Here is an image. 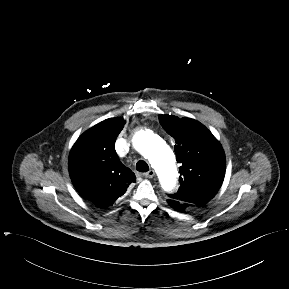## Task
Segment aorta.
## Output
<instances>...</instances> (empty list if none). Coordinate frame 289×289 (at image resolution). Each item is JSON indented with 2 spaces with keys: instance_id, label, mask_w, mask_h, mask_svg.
Segmentation results:
<instances>
[{
  "instance_id": "1",
  "label": "aorta",
  "mask_w": 289,
  "mask_h": 289,
  "mask_svg": "<svg viewBox=\"0 0 289 289\" xmlns=\"http://www.w3.org/2000/svg\"><path fill=\"white\" fill-rule=\"evenodd\" d=\"M133 145L156 169L163 189L172 190L178 172L174 153L166 142L151 131L142 130L134 136Z\"/></svg>"
}]
</instances>
